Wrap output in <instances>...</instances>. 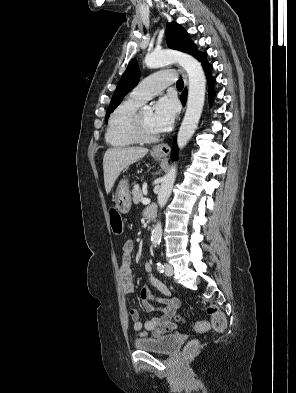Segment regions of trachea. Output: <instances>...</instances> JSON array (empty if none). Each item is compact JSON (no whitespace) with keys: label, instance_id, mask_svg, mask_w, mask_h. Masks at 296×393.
Returning <instances> with one entry per match:
<instances>
[{"label":"trachea","instance_id":"trachea-1","mask_svg":"<svg viewBox=\"0 0 296 393\" xmlns=\"http://www.w3.org/2000/svg\"><path fill=\"white\" fill-rule=\"evenodd\" d=\"M176 86H177L178 88H183V86H184L183 80L179 79V80L177 81V83H176Z\"/></svg>","mask_w":296,"mask_h":393}]
</instances>
